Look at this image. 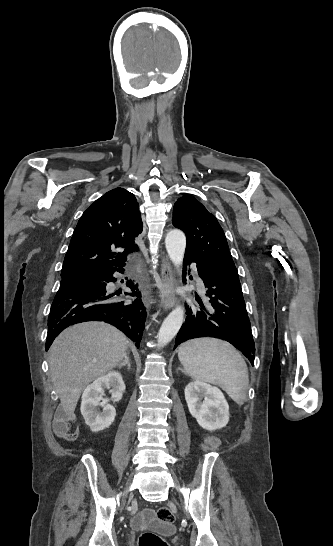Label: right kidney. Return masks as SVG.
I'll return each instance as SVG.
<instances>
[{
  "mask_svg": "<svg viewBox=\"0 0 333 546\" xmlns=\"http://www.w3.org/2000/svg\"><path fill=\"white\" fill-rule=\"evenodd\" d=\"M105 388H111L110 392L114 402L120 401L125 390L122 375L117 371H111L99 376L84 390L80 410L86 424L93 432L108 428L114 422L116 416L115 408L109 404L103 406L102 412L97 408L100 401L103 400L102 396Z\"/></svg>",
  "mask_w": 333,
  "mask_h": 546,
  "instance_id": "right-kidney-1",
  "label": "right kidney"
}]
</instances>
